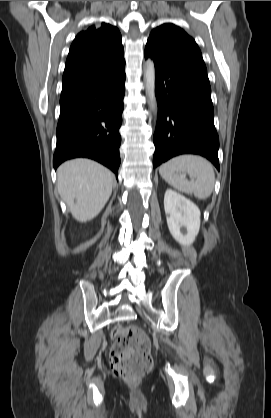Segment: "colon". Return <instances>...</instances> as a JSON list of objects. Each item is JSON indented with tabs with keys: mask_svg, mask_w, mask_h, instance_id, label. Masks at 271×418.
Listing matches in <instances>:
<instances>
[{
	"mask_svg": "<svg viewBox=\"0 0 271 418\" xmlns=\"http://www.w3.org/2000/svg\"><path fill=\"white\" fill-rule=\"evenodd\" d=\"M112 338L110 363L116 376L133 380L152 368L150 341L143 330L137 327L115 328Z\"/></svg>",
	"mask_w": 271,
	"mask_h": 418,
	"instance_id": "5ec220e1",
	"label": "colon"
}]
</instances>
